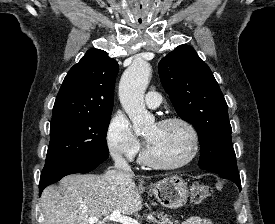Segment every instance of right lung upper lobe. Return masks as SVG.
<instances>
[{"mask_svg": "<svg viewBox=\"0 0 275 224\" xmlns=\"http://www.w3.org/2000/svg\"><path fill=\"white\" fill-rule=\"evenodd\" d=\"M118 70L116 60L105 51L88 50L66 75L52 117L112 113Z\"/></svg>", "mask_w": 275, "mask_h": 224, "instance_id": "obj_1", "label": "right lung upper lobe"}]
</instances>
